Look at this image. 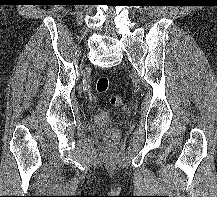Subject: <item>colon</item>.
Masks as SVG:
<instances>
[{
    "label": "colon",
    "mask_w": 217,
    "mask_h": 197,
    "mask_svg": "<svg viewBox=\"0 0 217 197\" xmlns=\"http://www.w3.org/2000/svg\"><path fill=\"white\" fill-rule=\"evenodd\" d=\"M110 86V80L106 76H100L97 78L95 83V88L98 93H106ZM110 104L114 107H120L123 104L122 98L120 96H112L110 98ZM119 113H115V117H118ZM119 139V134L116 129H110L105 135V142L108 146L114 147L117 145Z\"/></svg>",
    "instance_id": "1"
}]
</instances>
